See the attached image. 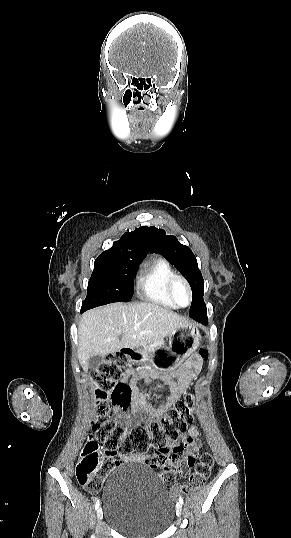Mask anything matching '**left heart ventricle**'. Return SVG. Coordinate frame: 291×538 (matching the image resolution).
I'll use <instances>...</instances> for the list:
<instances>
[{
  "mask_svg": "<svg viewBox=\"0 0 291 538\" xmlns=\"http://www.w3.org/2000/svg\"><path fill=\"white\" fill-rule=\"evenodd\" d=\"M176 299L181 305L188 302V293L184 285L178 284L175 288Z\"/></svg>",
  "mask_w": 291,
  "mask_h": 538,
  "instance_id": "obj_1",
  "label": "left heart ventricle"
}]
</instances>
